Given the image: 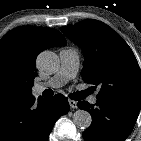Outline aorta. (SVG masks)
I'll use <instances>...</instances> for the list:
<instances>
[{"label": "aorta", "instance_id": "1", "mask_svg": "<svg viewBox=\"0 0 141 141\" xmlns=\"http://www.w3.org/2000/svg\"><path fill=\"white\" fill-rule=\"evenodd\" d=\"M38 69L46 74L55 73L60 66L58 56L52 51L41 52L36 60ZM74 125L79 129H87L92 122V117L89 112L85 110H77L72 117Z\"/></svg>", "mask_w": 141, "mask_h": 141}]
</instances>
